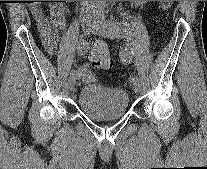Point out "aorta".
I'll return each mask as SVG.
<instances>
[{
    "instance_id": "aorta-1",
    "label": "aorta",
    "mask_w": 207,
    "mask_h": 169,
    "mask_svg": "<svg viewBox=\"0 0 207 169\" xmlns=\"http://www.w3.org/2000/svg\"><path fill=\"white\" fill-rule=\"evenodd\" d=\"M95 2H96V4H100V5H103L106 3V1H95Z\"/></svg>"
}]
</instances>
